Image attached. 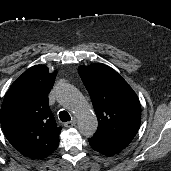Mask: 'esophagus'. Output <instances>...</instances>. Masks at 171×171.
I'll use <instances>...</instances> for the list:
<instances>
[{
	"label": "esophagus",
	"instance_id": "34e87169",
	"mask_svg": "<svg viewBox=\"0 0 171 171\" xmlns=\"http://www.w3.org/2000/svg\"><path fill=\"white\" fill-rule=\"evenodd\" d=\"M76 122H77V119L75 117H73L70 122L64 123V126L67 127V128L72 127V126H74L76 124Z\"/></svg>",
	"mask_w": 171,
	"mask_h": 171
}]
</instances>
